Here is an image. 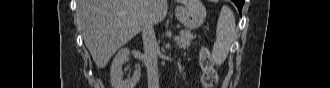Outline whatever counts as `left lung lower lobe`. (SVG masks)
I'll list each match as a JSON object with an SVG mask.
<instances>
[{
    "label": "left lung lower lobe",
    "mask_w": 330,
    "mask_h": 88,
    "mask_svg": "<svg viewBox=\"0 0 330 88\" xmlns=\"http://www.w3.org/2000/svg\"><path fill=\"white\" fill-rule=\"evenodd\" d=\"M239 9L240 14L242 13V7L245 0H232Z\"/></svg>",
    "instance_id": "obj_1"
}]
</instances>
